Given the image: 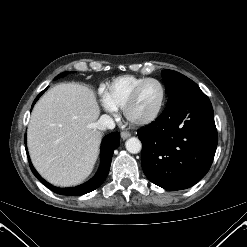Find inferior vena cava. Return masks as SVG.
I'll return each instance as SVG.
<instances>
[{"instance_id":"1","label":"inferior vena cava","mask_w":247,"mask_h":247,"mask_svg":"<svg viewBox=\"0 0 247 247\" xmlns=\"http://www.w3.org/2000/svg\"><path fill=\"white\" fill-rule=\"evenodd\" d=\"M96 127L100 130L114 129L115 123L109 115L104 114L96 123Z\"/></svg>"}]
</instances>
